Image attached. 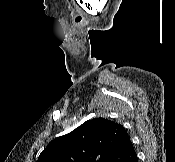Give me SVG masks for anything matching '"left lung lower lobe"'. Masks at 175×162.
I'll use <instances>...</instances> for the list:
<instances>
[{"label": "left lung lower lobe", "mask_w": 175, "mask_h": 162, "mask_svg": "<svg viewBox=\"0 0 175 162\" xmlns=\"http://www.w3.org/2000/svg\"><path fill=\"white\" fill-rule=\"evenodd\" d=\"M107 162H137V155L129 135L115 148Z\"/></svg>", "instance_id": "0a47b994"}]
</instances>
